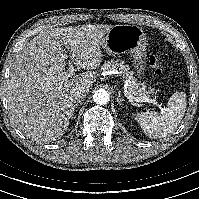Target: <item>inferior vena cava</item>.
I'll return each mask as SVG.
<instances>
[{
	"mask_svg": "<svg viewBox=\"0 0 199 199\" xmlns=\"http://www.w3.org/2000/svg\"><path fill=\"white\" fill-rule=\"evenodd\" d=\"M86 97V88L84 86H76L70 90L69 99L73 102H81Z\"/></svg>",
	"mask_w": 199,
	"mask_h": 199,
	"instance_id": "1",
	"label": "inferior vena cava"
}]
</instances>
